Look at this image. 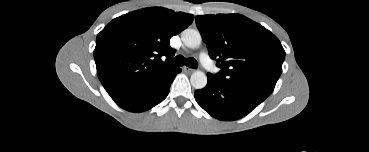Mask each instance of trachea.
Masks as SVG:
<instances>
[{"label":"trachea","instance_id":"trachea-1","mask_svg":"<svg viewBox=\"0 0 369 152\" xmlns=\"http://www.w3.org/2000/svg\"><path fill=\"white\" fill-rule=\"evenodd\" d=\"M172 65L175 66H183L186 64V66L190 67V68H194L196 69L198 67L197 65V61L194 58H188L185 59L182 55H178L176 56L172 61H171Z\"/></svg>","mask_w":369,"mask_h":152}]
</instances>
